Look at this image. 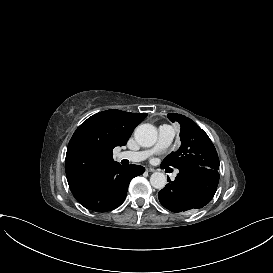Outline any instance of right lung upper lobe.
Here are the masks:
<instances>
[{
	"label": "right lung upper lobe",
	"mask_w": 273,
	"mask_h": 273,
	"mask_svg": "<svg viewBox=\"0 0 273 273\" xmlns=\"http://www.w3.org/2000/svg\"><path fill=\"white\" fill-rule=\"evenodd\" d=\"M146 116L147 113L110 109L85 120L67 147L65 169L71 191L115 164L113 149L125 145L134 128Z\"/></svg>",
	"instance_id": "cb5924a9"
}]
</instances>
